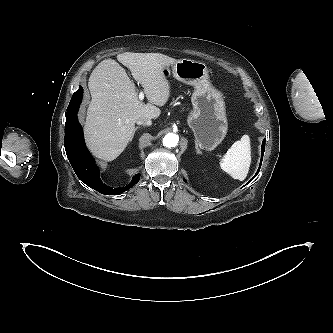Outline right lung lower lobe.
Here are the masks:
<instances>
[{"instance_id":"1","label":"right lung lower lobe","mask_w":333,"mask_h":333,"mask_svg":"<svg viewBox=\"0 0 333 333\" xmlns=\"http://www.w3.org/2000/svg\"><path fill=\"white\" fill-rule=\"evenodd\" d=\"M82 97L83 88L80 86L78 91L73 94L67 108L64 141L67 157L77 177L87 186L106 195L122 193L134 186L140 179V176L139 174L135 175L132 182L123 188L113 189L103 184L99 177V168L94 163L91 154L85 146L83 130L77 118V112L82 101Z\"/></svg>"}]
</instances>
